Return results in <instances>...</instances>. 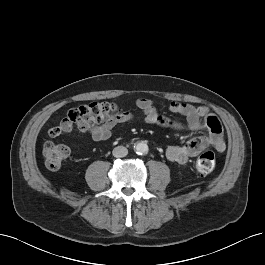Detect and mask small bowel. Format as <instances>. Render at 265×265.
<instances>
[{"instance_id": "1", "label": "small bowel", "mask_w": 265, "mask_h": 265, "mask_svg": "<svg viewBox=\"0 0 265 265\" xmlns=\"http://www.w3.org/2000/svg\"><path fill=\"white\" fill-rule=\"evenodd\" d=\"M137 107L142 111L146 123L157 125L170 129H186L192 132H199L209 128L208 120L210 117L206 107H195L190 104L174 101L170 104L169 110L174 114L181 115L185 118L186 123L174 121L168 117L160 115L154 103L146 98H139L136 101ZM135 115L131 112L121 111L118 119L98 123L91 127L89 133L91 139L95 142L107 141L111 138L112 129L118 123H125L133 120ZM208 145H212L217 151H225L226 144L222 134H213L209 139L192 138L184 145H172L166 150V157L169 161L177 164H186L192 157L198 155Z\"/></svg>"}]
</instances>
